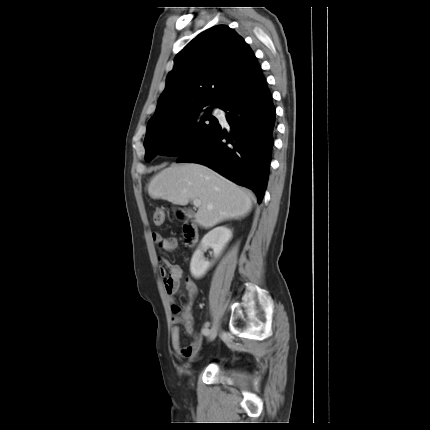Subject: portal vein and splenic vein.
Instances as JSON below:
<instances>
[{"label": "portal vein and splenic vein", "instance_id": "portal-vein-and-splenic-vein-1", "mask_svg": "<svg viewBox=\"0 0 430 430\" xmlns=\"http://www.w3.org/2000/svg\"><path fill=\"white\" fill-rule=\"evenodd\" d=\"M193 204L195 207H199L201 205V200L200 199H194Z\"/></svg>", "mask_w": 430, "mask_h": 430}]
</instances>
